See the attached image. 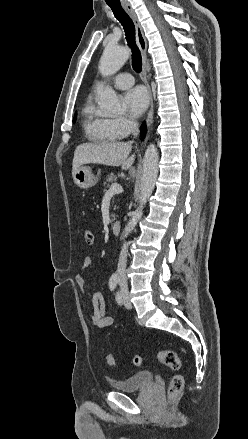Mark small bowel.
Listing matches in <instances>:
<instances>
[{
	"label": "small bowel",
	"mask_w": 248,
	"mask_h": 439,
	"mask_svg": "<svg viewBox=\"0 0 248 439\" xmlns=\"http://www.w3.org/2000/svg\"><path fill=\"white\" fill-rule=\"evenodd\" d=\"M92 264V259L90 257H86L83 260L81 270H85L89 268ZM75 282L78 287L83 290L85 287V279L82 273H78L75 276ZM92 305H93V314H92V322L98 328H106L113 324L114 317L106 314L105 301L102 293L95 292L92 296Z\"/></svg>",
	"instance_id": "c3829d8e"
}]
</instances>
